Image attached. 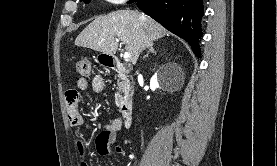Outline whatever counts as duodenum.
Returning a JSON list of instances; mask_svg holds the SVG:
<instances>
[{"label":"duodenum","instance_id":"410a0bca","mask_svg":"<svg viewBox=\"0 0 277 166\" xmlns=\"http://www.w3.org/2000/svg\"><path fill=\"white\" fill-rule=\"evenodd\" d=\"M107 65L110 67V69L118 73L120 76L125 77L127 69L119 59L111 58L107 62ZM120 110L124 126L130 127L133 119V104L130 98L127 97L122 100L120 104Z\"/></svg>","mask_w":277,"mask_h":166}]
</instances>
